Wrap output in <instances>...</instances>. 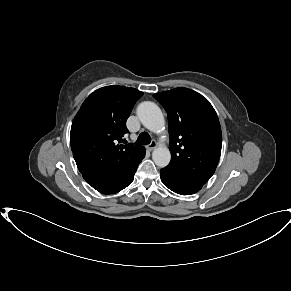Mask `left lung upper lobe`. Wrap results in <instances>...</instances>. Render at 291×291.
Here are the masks:
<instances>
[{"instance_id": "1", "label": "left lung upper lobe", "mask_w": 291, "mask_h": 291, "mask_svg": "<svg viewBox=\"0 0 291 291\" xmlns=\"http://www.w3.org/2000/svg\"><path fill=\"white\" fill-rule=\"evenodd\" d=\"M153 96L168 115L171 161L167 167L204 185L221 154L222 133L214 108L201 94L187 88Z\"/></svg>"}]
</instances>
